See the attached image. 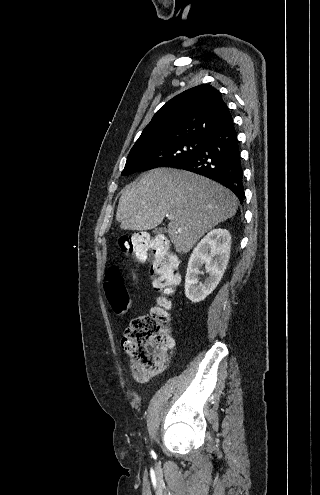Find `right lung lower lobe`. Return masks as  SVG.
Masks as SVG:
<instances>
[{
	"instance_id": "right-lung-lower-lobe-1",
	"label": "right lung lower lobe",
	"mask_w": 320,
	"mask_h": 495,
	"mask_svg": "<svg viewBox=\"0 0 320 495\" xmlns=\"http://www.w3.org/2000/svg\"><path fill=\"white\" fill-rule=\"evenodd\" d=\"M172 167L215 180L234 192L241 203L244 200L243 168L232 121L207 135L191 158Z\"/></svg>"
}]
</instances>
